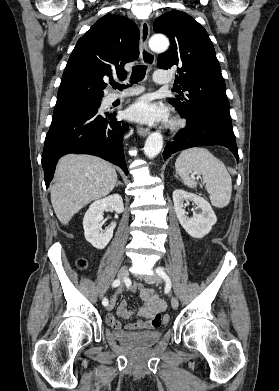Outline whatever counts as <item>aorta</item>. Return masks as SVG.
Listing matches in <instances>:
<instances>
[{"instance_id": "aorta-1", "label": "aorta", "mask_w": 279, "mask_h": 391, "mask_svg": "<svg viewBox=\"0 0 279 391\" xmlns=\"http://www.w3.org/2000/svg\"><path fill=\"white\" fill-rule=\"evenodd\" d=\"M149 47L155 52H163L169 47V40L162 35H154L149 40ZM163 147V137L160 133H151L146 139L144 153L148 158L156 157Z\"/></svg>"}]
</instances>
